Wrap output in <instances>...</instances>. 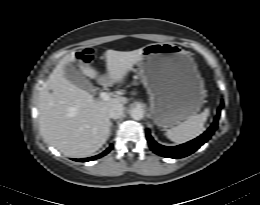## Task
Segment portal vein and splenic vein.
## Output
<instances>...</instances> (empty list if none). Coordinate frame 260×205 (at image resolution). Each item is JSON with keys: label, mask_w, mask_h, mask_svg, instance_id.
<instances>
[{"label": "portal vein and splenic vein", "mask_w": 260, "mask_h": 205, "mask_svg": "<svg viewBox=\"0 0 260 205\" xmlns=\"http://www.w3.org/2000/svg\"><path fill=\"white\" fill-rule=\"evenodd\" d=\"M100 99H101L102 101H108V100L111 99V98H110V94L107 93V92H101V93H100Z\"/></svg>", "instance_id": "portal-vein-and-splenic-vein-1"}]
</instances>
